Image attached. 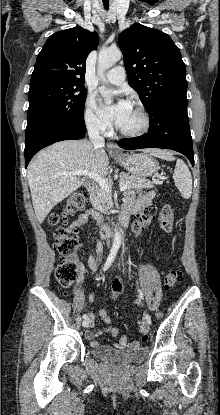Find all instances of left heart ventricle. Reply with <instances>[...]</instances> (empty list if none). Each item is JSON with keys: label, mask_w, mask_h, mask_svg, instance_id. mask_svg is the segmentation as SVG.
<instances>
[{"label": "left heart ventricle", "mask_w": 220, "mask_h": 415, "mask_svg": "<svg viewBox=\"0 0 220 415\" xmlns=\"http://www.w3.org/2000/svg\"><path fill=\"white\" fill-rule=\"evenodd\" d=\"M142 124V119L138 111L130 105L129 111L125 119L119 125L120 128L125 130L138 129Z\"/></svg>", "instance_id": "b2bd125f"}]
</instances>
